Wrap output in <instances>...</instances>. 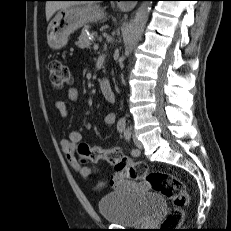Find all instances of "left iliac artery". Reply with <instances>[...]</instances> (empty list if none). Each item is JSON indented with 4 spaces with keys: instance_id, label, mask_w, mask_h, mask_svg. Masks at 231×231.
Listing matches in <instances>:
<instances>
[{
    "instance_id": "44dca946",
    "label": "left iliac artery",
    "mask_w": 231,
    "mask_h": 231,
    "mask_svg": "<svg viewBox=\"0 0 231 231\" xmlns=\"http://www.w3.org/2000/svg\"><path fill=\"white\" fill-rule=\"evenodd\" d=\"M124 138H125V140L127 141V142H129L130 141V139H131V132L129 131V130H126L125 132H124ZM139 150H137V149H132V151H131V154L133 155V156H138L139 155Z\"/></svg>"
}]
</instances>
